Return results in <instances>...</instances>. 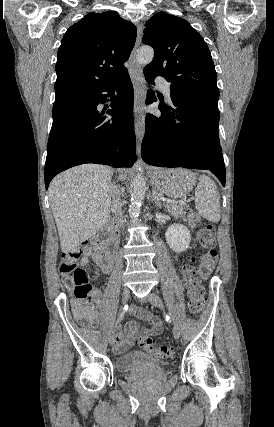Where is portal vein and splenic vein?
<instances>
[{"mask_svg":"<svg viewBox=\"0 0 274 427\" xmlns=\"http://www.w3.org/2000/svg\"><path fill=\"white\" fill-rule=\"evenodd\" d=\"M160 200H163V202H168V200H165V198H160ZM179 204H184V202H179Z\"/></svg>","mask_w":274,"mask_h":427,"instance_id":"portal-vein-and-splenic-vein-1","label":"portal vein and splenic vein"}]
</instances>
